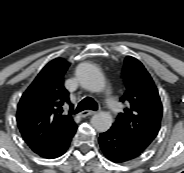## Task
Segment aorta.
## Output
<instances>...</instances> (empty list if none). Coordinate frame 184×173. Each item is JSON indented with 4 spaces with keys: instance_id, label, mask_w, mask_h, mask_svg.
<instances>
[{
    "instance_id": "762f6f07",
    "label": "aorta",
    "mask_w": 184,
    "mask_h": 173,
    "mask_svg": "<svg viewBox=\"0 0 184 173\" xmlns=\"http://www.w3.org/2000/svg\"><path fill=\"white\" fill-rule=\"evenodd\" d=\"M77 77L85 89L92 92H101L105 87V80L100 70L93 64L84 63L77 71ZM113 123L109 112H99L91 118V124L98 132H106Z\"/></svg>"
}]
</instances>
